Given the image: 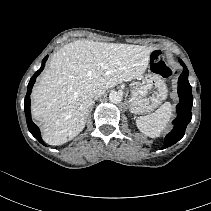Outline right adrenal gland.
Masks as SVG:
<instances>
[{"label":"right adrenal gland","mask_w":211,"mask_h":211,"mask_svg":"<svg viewBox=\"0 0 211 211\" xmlns=\"http://www.w3.org/2000/svg\"><path fill=\"white\" fill-rule=\"evenodd\" d=\"M96 100H97V99L94 100L93 104L95 103ZM92 108H93V106H92ZM92 108H91V110H92ZM91 110H90V111H91Z\"/></svg>","instance_id":"obj_1"}]
</instances>
